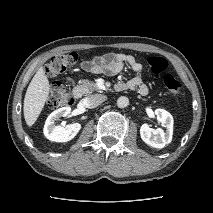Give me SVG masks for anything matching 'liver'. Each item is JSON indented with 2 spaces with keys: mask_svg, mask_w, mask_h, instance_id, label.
Returning a JSON list of instances; mask_svg holds the SVG:
<instances>
[{
  "mask_svg": "<svg viewBox=\"0 0 213 213\" xmlns=\"http://www.w3.org/2000/svg\"><path fill=\"white\" fill-rule=\"evenodd\" d=\"M50 91L49 80L40 67L32 78L24 98V118L31 127L39 117Z\"/></svg>",
  "mask_w": 213,
  "mask_h": 213,
  "instance_id": "obj_1",
  "label": "liver"
}]
</instances>
